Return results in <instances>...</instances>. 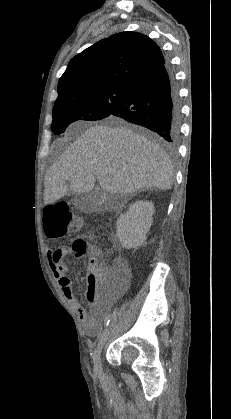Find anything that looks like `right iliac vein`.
Instances as JSON below:
<instances>
[{
	"instance_id": "1",
	"label": "right iliac vein",
	"mask_w": 231,
	"mask_h": 419,
	"mask_svg": "<svg viewBox=\"0 0 231 419\" xmlns=\"http://www.w3.org/2000/svg\"><path fill=\"white\" fill-rule=\"evenodd\" d=\"M110 330H111V326H108V327L104 330L103 334L101 335V337H100V339H99V342H98V344H97V347H96V349H95V351H94V356H93L94 368H95V370H97V371H100V370H101V368H102V362H101V352H102V349H103V347H104L105 343H106V342H107V340H108V337H109V335H110Z\"/></svg>"
}]
</instances>
